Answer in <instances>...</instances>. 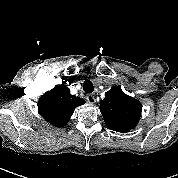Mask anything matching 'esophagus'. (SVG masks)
I'll list each match as a JSON object with an SVG mask.
<instances>
[{
    "label": "esophagus",
    "instance_id": "esophagus-1",
    "mask_svg": "<svg viewBox=\"0 0 178 178\" xmlns=\"http://www.w3.org/2000/svg\"><path fill=\"white\" fill-rule=\"evenodd\" d=\"M86 99L90 104H94L96 102V98L93 94H88L86 96Z\"/></svg>",
    "mask_w": 178,
    "mask_h": 178
}]
</instances>
